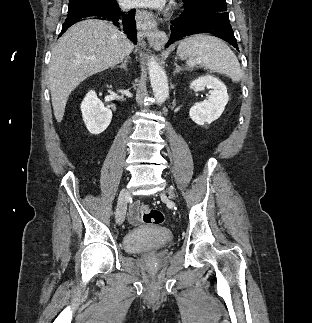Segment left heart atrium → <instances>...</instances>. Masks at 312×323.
Segmentation results:
<instances>
[{"label":"left heart atrium","mask_w":312,"mask_h":323,"mask_svg":"<svg viewBox=\"0 0 312 323\" xmlns=\"http://www.w3.org/2000/svg\"><path fill=\"white\" fill-rule=\"evenodd\" d=\"M126 4H129L130 8H140L144 11L145 8H155L159 11L160 8L167 7V0H125Z\"/></svg>","instance_id":"1"}]
</instances>
